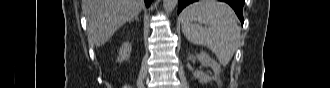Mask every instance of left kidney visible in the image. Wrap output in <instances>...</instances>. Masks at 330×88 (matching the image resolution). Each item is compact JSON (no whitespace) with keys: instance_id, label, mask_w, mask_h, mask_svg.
Here are the masks:
<instances>
[{"instance_id":"1","label":"left kidney","mask_w":330,"mask_h":88,"mask_svg":"<svg viewBox=\"0 0 330 88\" xmlns=\"http://www.w3.org/2000/svg\"><path fill=\"white\" fill-rule=\"evenodd\" d=\"M188 58L190 60H195V59H198L200 61V63L203 65V66H206V67H210L213 72H214V75L213 76H209L205 73H203L202 71H195L193 73V75L200 81V82H203V83H207V82H210L211 80H214L216 79V77L219 75V73L221 72V67L220 65L215 61L213 60L207 53H200V54H197V55H191L189 54L188 55Z\"/></svg>"}]
</instances>
